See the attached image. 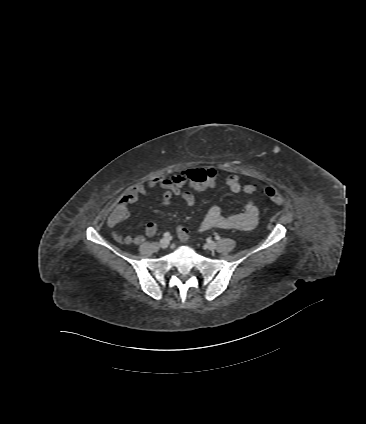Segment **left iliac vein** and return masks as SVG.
<instances>
[{
  "label": "left iliac vein",
  "mask_w": 366,
  "mask_h": 424,
  "mask_svg": "<svg viewBox=\"0 0 366 424\" xmlns=\"http://www.w3.org/2000/svg\"><path fill=\"white\" fill-rule=\"evenodd\" d=\"M217 244L214 241H210L209 243H207L206 247L208 250H214L216 248Z\"/></svg>",
  "instance_id": "obj_1"
}]
</instances>
